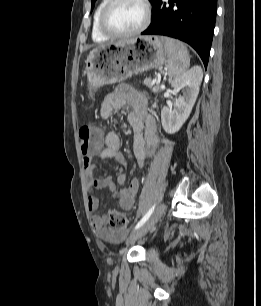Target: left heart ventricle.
I'll list each match as a JSON object with an SVG mask.
<instances>
[{"mask_svg":"<svg viewBox=\"0 0 261 306\" xmlns=\"http://www.w3.org/2000/svg\"><path fill=\"white\" fill-rule=\"evenodd\" d=\"M144 8L138 0H122L110 12L108 22L115 30L130 32L143 21Z\"/></svg>","mask_w":261,"mask_h":306,"instance_id":"obj_1","label":"left heart ventricle"}]
</instances>
